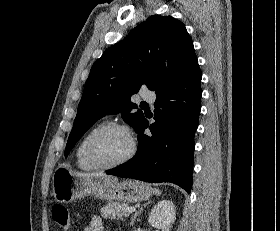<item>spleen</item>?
Instances as JSON below:
<instances>
[{
  "mask_svg": "<svg viewBox=\"0 0 280 231\" xmlns=\"http://www.w3.org/2000/svg\"><path fill=\"white\" fill-rule=\"evenodd\" d=\"M153 193H155V195H160L161 191L160 189H156V187H154Z\"/></svg>",
  "mask_w": 280,
  "mask_h": 231,
  "instance_id": "spleen-1",
  "label": "spleen"
}]
</instances>
